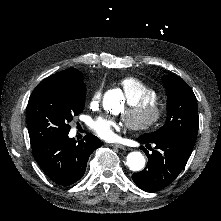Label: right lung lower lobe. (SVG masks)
<instances>
[{
    "instance_id": "1",
    "label": "right lung lower lobe",
    "mask_w": 221,
    "mask_h": 221,
    "mask_svg": "<svg viewBox=\"0 0 221 221\" xmlns=\"http://www.w3.org/2000/svg\"><path fill=\"white\" fill-rule=\"evenodd\" d=\"M101 145L100 139L88 134L78 144L66 135L31 147L44 173L55 183L69 186L83 177L90 154Z\"/></svg>"
}]
</instances>
